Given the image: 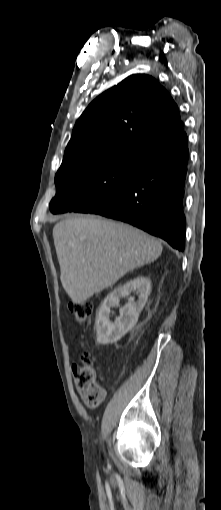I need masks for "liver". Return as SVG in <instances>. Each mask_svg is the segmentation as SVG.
<instances>
[{
  "label": "liver",
  "instance_id": "6515ba94",
  "mask_svg": "<svg viewBox=\"0 0 221 510\" xmlns=\"http://www.w3.org/2000/svg\"><path fill=\"white\" fill-rule=\"evenodd\" d=\"M60 280L81 304L126 273L155 261L162 245L130 225L100 217H70L53 228Z\"/></svg>",
  "mask_w": 221,
  "mask_h": 510
}]
</instances>
